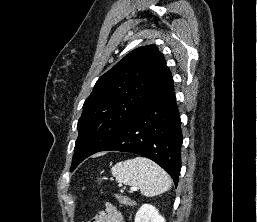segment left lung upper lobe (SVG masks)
<instances>
[{
    "label": "left lung upper lobe",
    "instance_id": "5c2ea615",
    "mask_svg": "<svg viewBox=\"0 0 257 222\" xmlns=\"http://www.w3.org/2000/svg\"><path fill=\"white\" fill-rule=\"evenodd\" d=\"M172 82L155 45L131 51L103 74L83 105L71 170L98 152Z\"/></svg>",
    "mask_w": 257,
    "mask_h": 222
}]
</instances>
